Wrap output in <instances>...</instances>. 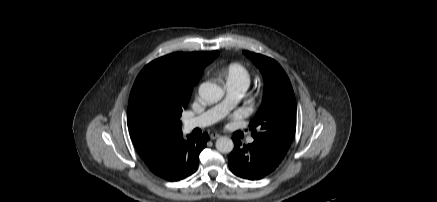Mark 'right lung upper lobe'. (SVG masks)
Returning <instances> with one entry per match:
<instances>
[{"label":"right lung upper lobe","mask_w":437,"mask_h":202,"mask_svg":"<svg viewBox=\"0 0 437 202\" xmlns=\"http://www.w3.org/2000/svg\"><path fill=\"white\" fill-rule=\"evenodd\" d=\"M219 52L172 53L154 61L166 62L172 69L171 97L182 103L189 102L192 89L205 66ZM131 139L142 159L151 163L161 152L182 136V125L147 126L127 119Z\"/></svg>","instance_id":"1"}]
</instances>
